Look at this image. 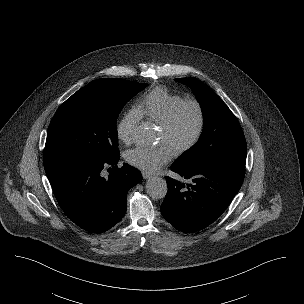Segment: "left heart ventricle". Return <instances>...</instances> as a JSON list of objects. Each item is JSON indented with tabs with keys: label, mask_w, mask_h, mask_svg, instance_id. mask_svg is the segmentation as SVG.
I'll use <instances>...</instances> for the list:
<instances>
[{
	"label": "left heart ventricle",
	"mask_w": 304,
	"mask_h": 304,
	"mask_svg": "<svg viewBox=\"0 0 304 304\" xmlns=\"http://www.w3.org/2000/svg\"><path fill=\"white\" fill-rule=\"evenodd\" d=\"M196 124L197 116L195 110L192 107L184 108L170 133L167 134L160 129L159 143L174 149L190 139L195 131Z\"/></svg>",
	"instance_id": "left-heart-ventricle-1"
}]
</instances>
